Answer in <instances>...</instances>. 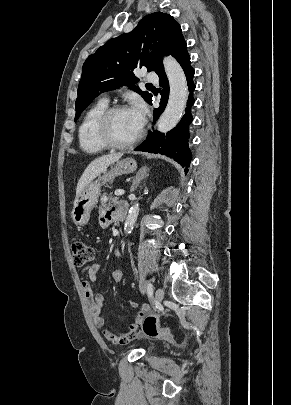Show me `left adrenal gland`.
I'll return each instance as SVG.
<instances>
[{
    "label": "left adrenal gland",
    "instance_id": "left-adrenal-gland-1",
    "mask_svg": "<svg viewBox=\"0 0 291 405\" xmlns=\"http://www.w3.org/2000/svg\"><path fill=\"white\" fill-rule=\"evenodd\" d=\"M148 171H149V169L146 166L139 169V171L137 172V174L133 180V183L131 186V192H134L136 190V188L139 186L140 182L148 176V173H147Z\"/></svg>",
    "mask_w": 291,
    "mask_h": 405
}]
</instances>
